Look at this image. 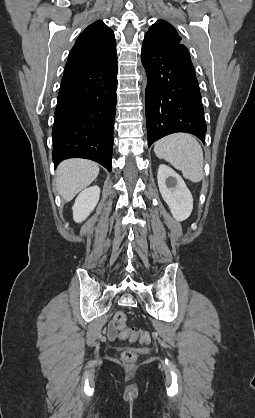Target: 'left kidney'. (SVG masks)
Returning <instances> with one entry per match:
<instances>
[{
	"instance_id": "5707ae66",
	"label": "left kidney",
	"mask_w": 255,
	"mask_h": 418,
	"mask_svg": "<svg viewBox=\"0 0 255 418\" xmlns=\"http://www.w3.org/2000/svg\"><path fill=\"white\" fill-rule=\"evenodd\" d=\"M162 198L177 221L186 220L193 209V197L184 180L167 165H160L157 173Z\"/></svg>"
}]
</instances>
